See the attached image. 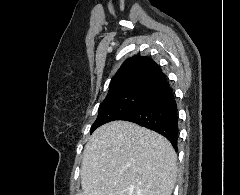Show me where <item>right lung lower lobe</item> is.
Instances as JSON below:
<instances>
[{
    "label": "right lung lower lobe",
    "mask_w": 240,
    "mask_h": 195,
    "mask_svg": "<svg viewBox=\"0 0 240 195\" xmlns=\"http://www.w3.org/2000/svg\"><path fill=\"white\" fill-rule=\"evenodd\" d=\"M118 120L134 122L160 133L177 150V104L167 80L151 89L140 105Z\"/></svg>",
    "instance_id": "98d812e1"
}]
</instances>
